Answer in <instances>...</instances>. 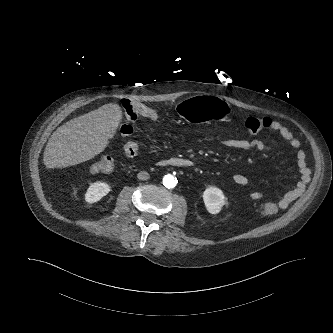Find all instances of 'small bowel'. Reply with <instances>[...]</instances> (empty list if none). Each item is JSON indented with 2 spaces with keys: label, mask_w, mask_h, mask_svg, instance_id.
<instances>
[{
  "label": "small bowel",
  "mask_w": 333,
  "mask_h": 333,
  "mask_svg": "<svg viewBox=\"0 0 333 333\" xmlns=\"http://www.w3.org/2000/svg\"><path fill=\"white\" fill-rule=\"evenodd\" d=\"M135 107L143 106L139 103L134 104ZM269 128L277 133L288 142L291 148L296 151V161L298 164V168L300 171V179L296 186L284 193L278 199V205L280 208H287L303 191L305 183L308 177V167L306 164V155L302 149H300V141L295 135L291 132V130L281 123L278 120H271ZM222 145L229 149L239 150L242 152H252V151H260L267 152L270 150V146L263 141L262 139H226L222 141ZM138 151V145L135 142H129L124 146V152L128 156L136 155ZM233 181L238 185H246L248 184V178L244 174H235L233 176ZM250 198L253 200H258L263 198V193L260 191H252L249 194Z\"/></svg>",
  "instance_id": "1"
}]
</instances>
